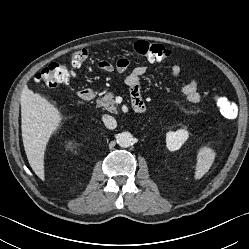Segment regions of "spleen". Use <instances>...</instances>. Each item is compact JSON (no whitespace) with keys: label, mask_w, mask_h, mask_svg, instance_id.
Here are the masks:
<instances>
[{"label":"spleen","mask_w":249,"mask_h":249,"mask_svg":"<svg viewBox=\"0 0 249 249\" xmlns=\"http://www.w3.org/2000/svg\"><path fill=\"white\" fill-rule=\"evenodd\" d=\"M215 156L216 153L211 147L203 146L198 150L194 175L196 180L201 179L208 172L215 160Z\"/></svg>","instance_id":"3e777b00"}]
</instances>
